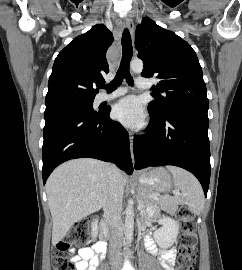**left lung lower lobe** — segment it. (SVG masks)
<instances>
[{
  "instance_id": "left-lung-lower-lobe-1",
  "label": "left lung lower lobe",
  "mask_w": 242,
  "mask_h": 270,
  "mask_svg": "<svg viewBox=\"0 0 242 270\" xmlns=\"http://www.w3.org/2000/svg\"><path fill=\"white\" fill-rule=\"evenodd\" d=\"M207 111L181 109L163 117L149 111V131L133 142L135 169L162 165L184 168L198 178L207 196L211 172Z\"/></svg>"
}]
</instances>
